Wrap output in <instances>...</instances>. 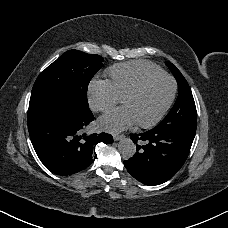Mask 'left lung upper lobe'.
I'll use <instances>...</instances> for the list:
<instances>
[{"instance_id":"1","label":"left lung upper lobe","mask_w":228,"mask_h":228,"mask_svg":"<svg viewBox=\"0 0 228 228\" xmlns=\"http://www.w3.org/2000/svg\"><path fill=\"white\" fill-rule=\"evenodd\" d=\"M166 65L177 80L179 94L173 108L157 127L196 130L197 112L191 89L181 72L172 63L167 61Z\"/></svg>"}]
</instances>
